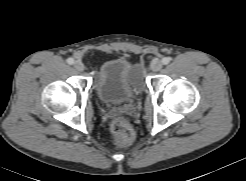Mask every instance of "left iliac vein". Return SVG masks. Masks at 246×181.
Listing matches in <instances>:
<instances>
[{
    "mask_svg": "<svg viewBox=\"0 0 246 181\" xmlns=\"http://www.w3.org/2000/svg\"><path fill=\"white\" fill-rule=\"evenodd\" d=\"M162 66H163V64H162L161 61L155 60V61H153V62L151 63V66H150V67H151V70H152V71L157 72V71H159V70L162 69Z\"/></svg>",
    "mask_w": 246,
    "mask_h": 181,
    "instance_id": "left-iliac-vein-1",
    "label": "left iliac vein"
}]
</instances>
